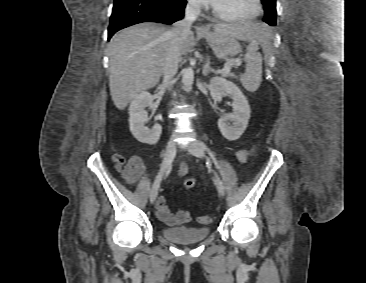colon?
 I'll return each mask as SVG.
<instances>
[{"label":"colon","instance_id":"5ec220e1","mask_svg":"<svg viewBox=\"0 0 366 283\" xmlns=\"http://www.w3.org/2000/svg\"><path fill=\"white\" fill-rule=\"evenodd\" d=\"M183 185L186 189L191 190L196 186V180L195 178H187L184 180ZM200 221L203 223H206L209 221V218L206 216L200 217Z\"/></svg>","mask_w":366,"mask_h":283}]
</instances>
